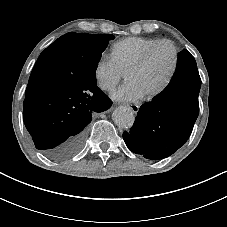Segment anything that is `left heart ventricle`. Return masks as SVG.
<instances>
[{
    "label": "left heart ventricle",
    "mask_w": 227,
    "mask_h": 227,
    "mask_svg": "<svg viewBox=\"0 0 227 227\" xmlns=\"http://www.w3.org/2000/svg\"><path fill=\"white\" fill-rule=\"evenodd\" d=\"M173 53L168 45H158L152 52L145 67L128 74V83L135 84L145 96L158 88L165 80L172 64Z\"/></svg>",
    "instance_id": "obj_1"
}]
</instances>
